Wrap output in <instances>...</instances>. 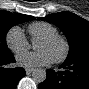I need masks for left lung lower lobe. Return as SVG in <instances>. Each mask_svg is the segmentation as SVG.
<instances>
[{"instance_id": "1", "label": "left lung lower lobe", "mask_w": 89, "mask_h": 89, "mask_svg": "<svg viewBox=\"0 0 89 89\" xmlns=\"http://www.w3.org/2000/svg\"><path fill=\"white\" fill-rule=\"evenodd\" d=\"M65 71L46 70L47 77L39 89H89V55L65 61Z\"/></svg>"}]
</instances>
